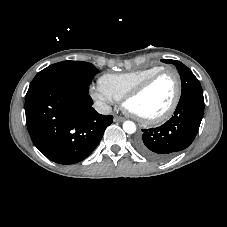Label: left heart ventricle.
I'll use <instances>...</instances> for the list:
<instances>
[{
	"mask_svg": "<svg viewBox=\"0 0 227 227\" xmlns=\"http://www.w3.org/2000/svg\"><path fill=\"white\" fill-rule=\"evenodd\" d=\"M176 91L175 78L171 73L158 77L141 94L127 102V108L143 118L163 113L171 104Z\"/></svg>",
	"mask_w": 227,
	"mask_h": 227,
	"instance_id": "obj_1",
	"label": "left heart ventricle"
}]
</instances>
